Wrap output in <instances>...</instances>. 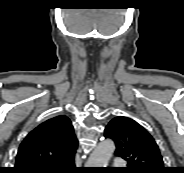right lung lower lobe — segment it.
Masks as SVG:
<instances>
[{
	"label": "right lung lower lobe",
	"mask_w": 184,
	"mask_h": 173,
	"mask_svg": "<svg viewBox=\"0 0 184 173\" xmlns=\"http://www.w3.org/2000/svg\"><path fill=\"white\" fill-rule=\"evenodd\" d=\"M82 170L79 168L75 167L74 160L69 161L67 163H64L60 167L52 170V171H47L45 173H81Z\"/></svg>",
	"instance_id": "right-lung-lower-lobe-1"
}]
</instances>
